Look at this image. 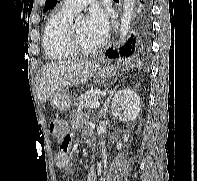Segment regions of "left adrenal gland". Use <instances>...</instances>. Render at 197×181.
I'll use <instances>...</instances> for the list:
<instances>
[{
    "label": "left adrenal gland",
    "instance_id": "1",
    "mask_svg": "<svg viewBox=\"0 0 197 181\" xmlns=\"http://www.w3.org/2000/svg\"><path fill=\"white\" fill-rule=\"evenodd\" d=\"M116 89H117V86L114 89L108 91V97L106 98L105 102L103 103V107L100 111V116H105L106 115L108 107H109L110 100L113 97Z\"/></svg>",
    "mask_w": 197,
    "mask_h": 181
}]
</instances>
